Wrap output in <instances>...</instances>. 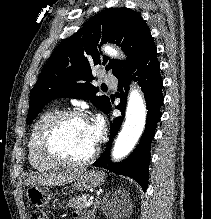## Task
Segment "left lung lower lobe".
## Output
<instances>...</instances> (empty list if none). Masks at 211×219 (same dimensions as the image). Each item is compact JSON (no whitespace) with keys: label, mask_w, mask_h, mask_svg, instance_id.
<instances>
[{"label":"left lung lower lobe","mask_w":211,"mask_h":219,"mask_svg":"<svg viewBox=\"0 0 211 219\" xmlns=\"http://www.w3.org/2000/svg\"><path fill=\"white\" fill-rule=\"evenodd\" d=\"M138 77H132L131 74ZM118 97L121 98L117 109L125 110L127 90L131 80L138 81L144 92L147 104L146 127L140 143L133 153L119 163L110 161L109 150L114 135L118 132L123 117H117L110 124V139L104 153L94 162V166L103 167L116 174L131 177L138 181L145 191L148 184V164L150 160V144L155 135L157 122L160 120V106L163 103L162 86L163 80L160 76V64L157 59V50L152 36L150 35L132 61L124 67L117 75ZM111 104L106 112L109 113Z\"/></svg>","instance_id":"left-lung-lower-lobe-1"}]
</instances>
